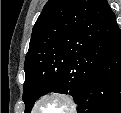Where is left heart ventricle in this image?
Listing matches in <instances>:
<instances>
[{"mask_svg":"<svg viewBox=\"0 0 121 113\" xmlns=\"http://www.w3.org/2000/svg\"><path fill=\"white\" fill-rule=\"evenodd\" d=\"M68 110L66 103L60 99L49 98L41 103L38 113H65Z\"/></svg>","mask_w":121,"mask_h":113,"instance_id":"1","label":"left heart ventricle"}]
</instances>
